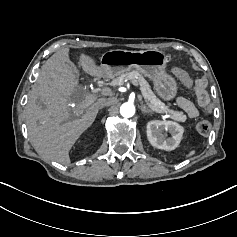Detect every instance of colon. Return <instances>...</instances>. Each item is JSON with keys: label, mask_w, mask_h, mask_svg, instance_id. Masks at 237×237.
<instances>
[{"label": "colon", "mask_w": 237, "mask_h": 237, "mask_svg": "<svg viewBox=\"0 0 237 237\" xmlns=\"http://www.w3.org/2000/svg\"><path fill=\"white\" fill-rule=\"evenodd\" d=\"M174 73L186 87L188 88L192 87L193 82L186 71L180 68H176L174 70ZM195 128L199 134L207 135L211 130V124L207 120H199L196 122Z\"/></svg>", "instance_id": "1"}]
</instances>
